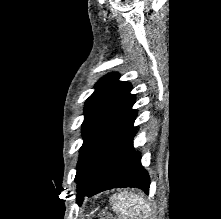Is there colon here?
<instances>
[{"label": "colon", "instance_id": "obj_1", "mask_svg": "<svg viewBox=\"0 0 221 219\" xmlns=\"http://www.w3.org/2000/svg\"><path fill=\"white\" fill-rule=\"evenodd\" d=\"M93 219H112L109 213L101 212L93 217Z\"/></svg>", "mask_w": 221, "mask_h": 219}]
</instances>
